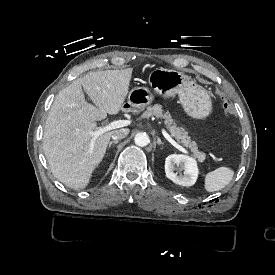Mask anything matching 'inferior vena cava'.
Masks as SVG:
<instances>
[{"mask_svg": "<svg viewBox=\"0 0 275 275\" xmlns=\"http://www.w3.org/2000/svg\"><path fill=\"white\" fill-rule=\"evenodd\" d=\"M129 134V129H117L112 134L113 140H121L124 139Z\"/></svg>", "mask_w": 275, "mask_h": 275, "instance_id": "obj_1", "label": "inferior vena cava"}]
</instances>
